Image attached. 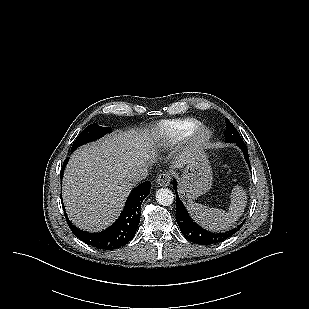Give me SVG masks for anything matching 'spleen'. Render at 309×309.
Listing matches in <instances>:
<instances>
[{
    "label": "spleen",
    "instance_id": "spleen-1",
    "mask_svg": "<svg viewBox=\"0 0 309 309\" xmlns=\"http://www.w3.org/2000/svg\"><path fill=\"white\" fill-rule=\"evenodd\" d=\"M247 203L246 192L241 186H235L231 193L229 210L208 208L205 205L192 201L187 203V208L194 220L203 227L212 231H222L231 227L243 214Z\"/></svg>",
    "mask_w": 309,
    "mask_h": 309
}]
</instances>
